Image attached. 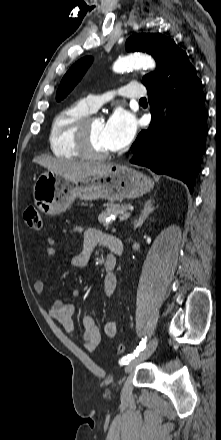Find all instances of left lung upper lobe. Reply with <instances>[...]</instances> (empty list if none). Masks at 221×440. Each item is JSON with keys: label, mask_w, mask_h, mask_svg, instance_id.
Returning a JSON list of instances; mask_svg holds the SVG:
<instances>
[{"label": "left lung upper lobe", "mask_w": 221, "mask_h": 440, "mask_svg": "<svg viewBox=\"0 0 221 440\" xmlns=\"http://www.w3.org/2000/svg\"><path fill=\"white\" fill-rule=\"evenodd\" d=\"M126 50L131 52H146L151 54L157 63V71L143 77L142 83L149 85L162 71L168 58L172 53L180 50L175 42L160 34H135L126 42ZM92 57H84L77 61L63 77L57 93L56 100L64 99L75 85L81 80L82 76L91 65Z\"/></svg>", "instance_id": "left-lung-upper-lobe-1"}]
</instances>
